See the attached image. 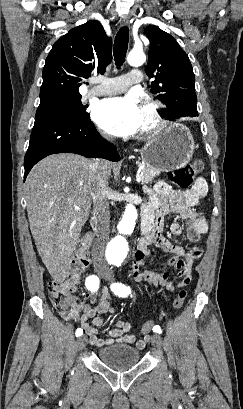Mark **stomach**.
Segmentation results:
<instances>
[{"label":"stomach","mask_w":243,"mask_h":409,"mask_svg":"<svg viewBox=\"0 0 243 409\" xmlns=\"http://www.w3.org/2000/svg\"><path fill=\"white\" fill-rule=\"evenodd\" d=\"M194 149L190 130L181 123H174L146 142L141 157L147 167L167 172L189 163Z\"/></svg>","instance_id":"0dacf381"}]
</instances>
